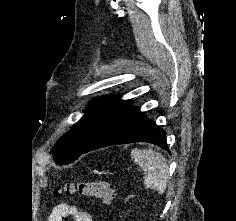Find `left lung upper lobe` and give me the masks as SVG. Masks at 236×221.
Segmentation results:
<instances>
[{
    "label": "left lung upper lobe",
    "instance_id": "5c2ea615",
    "mask_svg": "<svg viewBox=\"0 0 236 221\" xmlns=\"http://www.w3.org/2000/svg\"><path fill=\"white\" fill-rule=\"evenodd\" d=\"M122 103L114 95L92 100L83 117L55 143L53 153L58 164L75 161L105 119Z\"/></svg>",
    "mask_w": 236,
    "mask_h": 221
}]
</instances>
